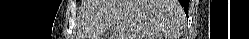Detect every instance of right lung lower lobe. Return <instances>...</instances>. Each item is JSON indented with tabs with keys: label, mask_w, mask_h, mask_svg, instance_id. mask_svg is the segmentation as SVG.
Here are the masks:
<instances>
[{
	"label": "right lung lower lobe",
	"mask_w": 249,
	"mask_h": 39,
	"mask_svg": "<svg viewBox=\"0 0 249 39\" xmlns=\"http://www.w3.org/2000/svg\"><path fill=\"white\" fill-rule=\"evenodd\" d=\"M181 6L184 8L185 13H188L189 0H180Z\"/></svg>",
	"instance_id": "right-lung-lower-lobe-1"
}]
</instances>
